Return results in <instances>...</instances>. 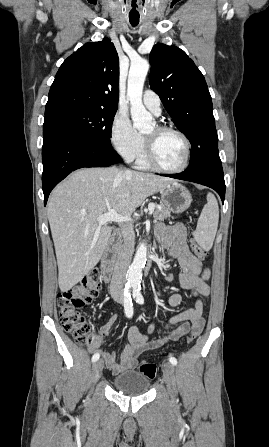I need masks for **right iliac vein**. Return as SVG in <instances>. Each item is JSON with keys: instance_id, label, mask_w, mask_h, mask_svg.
<instances>
[{"instance_id": "1", "label": "right iliac vein", "mask_w": 269, "mask_h": 447, "mask_svg": "<svg viewBox=\"0 0 269 447\" xmlns=\"http://www.w3.org/2000/svg\"><path fill=\"white\" fill-rule=\"evenodd\" d=\"M103 361L99 360L95 362L93 368H92V378L94 381H97L101 375L102 369H103Z\"/></svg>"}]
</instances>
